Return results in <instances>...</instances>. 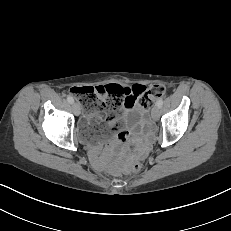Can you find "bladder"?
<instances>
[{"mask_svg":"<svg viewBox=\"0 0 231 231\" xmlns=\"http://www.w3.org/2000/svg\"><path fill=\"white\" fill-rule=\"evenodd\" d=\"M100 131L92 124H87L84 126H78L76 129V136L83 144H92L97 141V133Z\"/></svg>","mask_w":231,"mask_h":231,"instance_id":"obj_1","label":"bladder"}]
</instances>
